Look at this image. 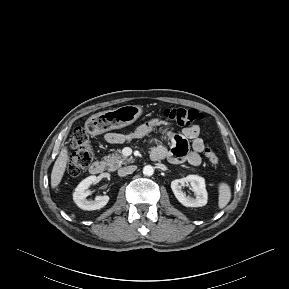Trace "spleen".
I'll return each instance as SVG.
<instances>
[{"instance_id": "obj_1", "label": "spleen", "mask_w": 289, "mask_h": 289, "mask_svg": "<svg viewBox=\"0 0 289 289\" xmlns=\"http://www.w3.org/2000/svg\"><path fill=\"white\" fill-rule=\"evenodd\" d=\"M230 199H231L230 186L225 182H221L218 185V207L220 209H223L229 203Z\"/></svg>"}]
</instances>
